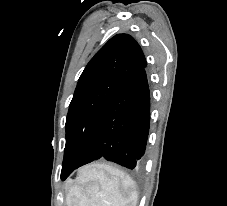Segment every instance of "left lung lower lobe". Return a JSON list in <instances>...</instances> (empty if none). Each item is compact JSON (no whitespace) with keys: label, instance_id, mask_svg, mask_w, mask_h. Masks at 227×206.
<instances>
[{"label":"left lung lower lobe","instance_id":"obj_1","mask_svg":"<svg viewBox=\"0 0 227 206\" xmlns=\"http://www.w3.org/2000/svg\"><path fill=\"white\" fill-rule=\"evenodd\" d=\"M150 125V93L145 67L136 73L107 106L92 142L75 169L101 158L133 169L144 156Z\"/></svg>","mask_w":227,"mask_h":206}]
</instances>
